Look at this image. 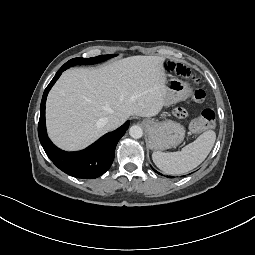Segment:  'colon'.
Wrapping results in <instances>:
<instances>
[{
	"label": "colon",
	"instance_id": "5ec220e1",
	"mask_svg": "<svg viewBox=\"0 0 255 255\" xmlns=\"http://www.w3.org/2000/svg\"><path fill=\"white\" fill-rule=\"evenodd\" d=\"M167 68L170 71H174L180 76H183L185 78H190L194 80L195 82H198V79L195 77V75L190 71V69L181 64L176 62H168ZM205 93L203 90H196L194 93V98L197 101H201L204 99ZM215 112L212 109H205L201 112V114L195 118L191 123V129L194 132H200L204 131L206 129H209L214 126L215 123Z\"/></svg>",
	"mask_w": 255,
	"mask_h": 255
}]
</instances>
